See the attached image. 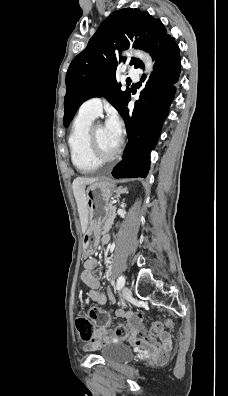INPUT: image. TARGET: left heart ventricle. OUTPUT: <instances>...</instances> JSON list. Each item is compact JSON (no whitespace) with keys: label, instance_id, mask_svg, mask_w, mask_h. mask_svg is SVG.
<instances>
[{"label":"left heart ventricle","instance_id":"obj_1","mask_svg":"<svg viewBox=\"0 0 228 396\" xmlns=\"http://www.w3.org/2000/svg\"><path fill=\"white\" fill-rule=\"evenodd\" d=\"M95 136L101 154L108 156L116 150L119 140L110 134L105 125L96 129Z\"/></svg>","mask_w":228,"mask_h":396}]
</instances>
